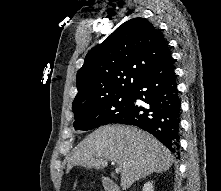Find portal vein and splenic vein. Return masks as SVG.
Masks as SVG:
<instances>
[{
	"label": "portal vein and splenic vein",
	"instance_id": "obj_1",
	"mask_svg": "<svg viewBox=\"0 0 221 191\" xmlns=\"http://www.w3.org/2000/svg\"><path fill=\"white\" fill-rule=\"evenodd\" d=\"M120 171V169L119 168H116V172L118 173Z\"/></svg>",
	"mask_w": 221,
	"mask_h": 191
}]
</instances>
